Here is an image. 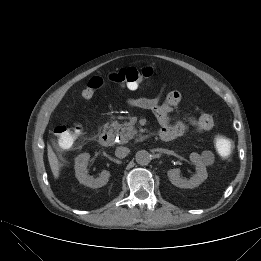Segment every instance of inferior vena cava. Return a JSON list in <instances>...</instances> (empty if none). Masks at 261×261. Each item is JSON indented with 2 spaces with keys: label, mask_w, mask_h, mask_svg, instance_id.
Masks as SVG:
<instances>
[{
  "label": "inferior vena cava",
  "mask_w": 261,
  "mask_h": 261,
  "mask_svg": "<svg viewBox=\"0 0 261 261\" xmlns=\"http://www.w3.org/2000/svg\"><path fill=\"white\" fill-rule=\"evenodd\" d=\"M130 150L127 147H117L115 150V156L118 158H125L129 154Z\"/></svg>",
  "instance_id": "obj_1"
}]
</instances>
